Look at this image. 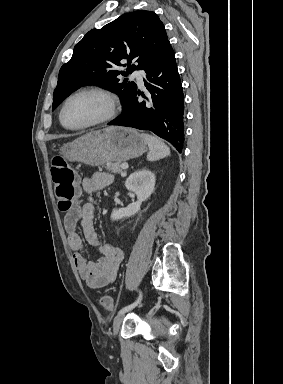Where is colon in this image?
<instances>
[{"mask_svg":"<svg viewBox=\"0 0 283 384\" xmlns=\"http://www.w3.org/2000/svg\"><path fill=\"white\" fill-rule=\"evenodd\" d=\"M52 180L55 185L58 206L61 211H70L77 199V184L74 171L57 156L52 160L51 165ZM100 304L105 310H112L113 300L108 295L100 298Z\"/></svg>","mask_w":283,"mask_h":384,"instance_id":"1","label":"colon"}]
</instances>
